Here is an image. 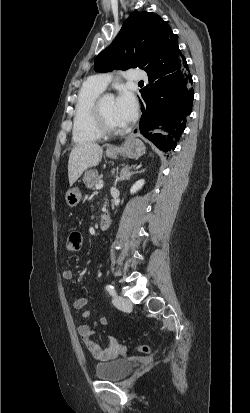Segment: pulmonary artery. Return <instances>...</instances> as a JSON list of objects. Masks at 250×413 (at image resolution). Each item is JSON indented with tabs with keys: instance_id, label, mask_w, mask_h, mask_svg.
<instances>
[{
	"instance_id": "obj_1",
	"label": "pulmonary artery",
	"mask_w": 250,
	"mask_h": 413,
	"mask_svg": "<svg viewBox=\"0 0 250 413\" xmlns=\"http://www.w3.org/2000/svg\"><path fill=\"white\" fill-rule=\"evenodd\" d=\"M125 76L128 80H133V81H139V80L147 78L146 73L140 69H130L126 72ZM92 80L100 88L105 89L107 85L109 84V82L111 81V75L109 73L98 74L94 76Z\"/></svg>"
}]
</instances>
